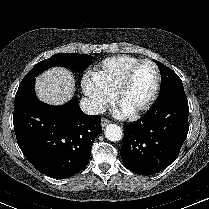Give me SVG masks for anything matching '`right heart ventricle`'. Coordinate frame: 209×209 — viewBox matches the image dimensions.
Listing matches in <instances>:
<instances>
[{"mask_svg":"<svg viewBox=\"0 0 209 209\" xmlns=\"http://www.w3.org/2000/svg\"><path fill=\"white\" fill-rule=\"evenodd\" d=\"M139 60L131 55H117L105 59L92 72V78L106 91L114 95L128 68Z\"/></svg>","mask_w":209,"mask_h":209,"instance_id":"obj_1","label":"right heart ventricle"}]
</instances>
